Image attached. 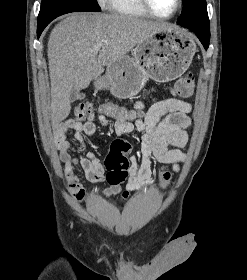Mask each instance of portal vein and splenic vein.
Returning a JSON list of instances; mask_svg holds the SVG:
<instances>
[{
    "label": "portal vein and splenic vein",
    "mask_w": 247,
    "mask_h": 280,
    "mask_svg": "<svg viewBox=\"0 0 247 280\" xmlns=\"http://www.w3.org/2000/svg\"><path fill=\"white\" fill-rule=\"evenodd\" d=\"M100 48H101V44H98V45L94 46V50H96V51L100 50Z\"/></svg>",
    "instance_id": "obj_1"
}]
</instances>
